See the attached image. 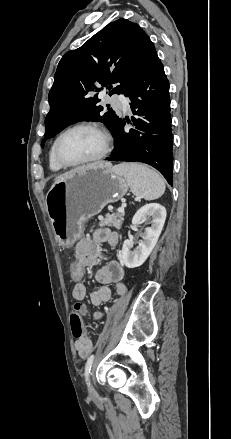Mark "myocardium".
<instances>
[{"instance_id":"myocardium-1","label":"myocardium","mask_w":231,"mask_h":439,"mask_svg":"<svg viewBox=\"0 0 231 439\" xmlns=\"http://www.w3.org/2000/svg\"><path fill=\"white\" fill-rule=\"evenodd\" d=\"M78 129H91V130L97 131L103 138V148L97 155H95L89 159L78 161V162H70V161H67L62 156L61 151H60V144H61L62 139L68 133H70L74 130H78ZM111 147H112V136H111L110 132L105 127H103L99 124H96V123H92V122H82V123H78V124H75V125L67 128L66 130H64L63 132H61L58 135V137L55 140L54 153H55V157H56L57 161L61 165H63L64 167H77V166H82V165L94 163V162H97V161L103 159L104 157H106L108 155V153L111 150Z\"/></svg>"}]
</instances>
